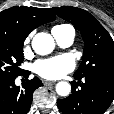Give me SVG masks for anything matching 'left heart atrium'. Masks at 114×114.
<instances>
[{
	"label": "left heart atrium",
	"instance_id": "39dd6f15",
	"mask_svg": "<svg viewBox=\"0 0 114 114\" xmlns=\"http://www.w3.org/2000/svg\"><path fill=\"white\" fill-rule=\"evenodd\" d=\"M75 63L70 55H59L35 62L33 70L46 79H58L71 72Z\"/></svg>",
	"mask_w": 114,
	"mask_h": 114
}]
</instances>
